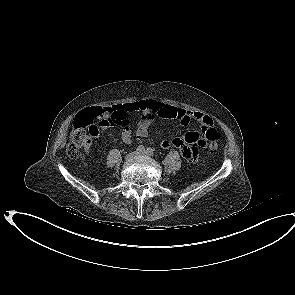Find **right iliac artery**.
Instances as JSON below:
<instances>
[{
  "label": "right iliac artery",
  "instance_id": "82829eb1",
  "mask_svg": "<svg viewBox=\"0 0 295 295\" xmlns=\"http://www.w3.org/2000/svg\"><path fill=\"white\" fill-rule=\"evenodd\" d=\"M137 151H138V152H143V151H145L144 146H143V145L138 146Z\"/></svg>",
  "mask_w": 295,
  "mask_h": 295
}]
</instances>
